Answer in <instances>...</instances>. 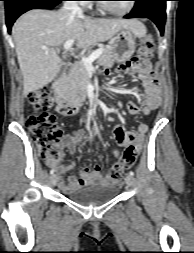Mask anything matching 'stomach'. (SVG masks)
Listing matches in <instances>:
<instances>
[{
    "mask_svg": "<svg viewBox=\"0 0 194 253\" xmlns=\"http://www.w3.org/2000/svg\"><path fill=\"white\" fill-rule=\"evenodd\" d=\"M135 48V34L130 29L122 28L112 37L113 58L118 63L131 57Z\"/></svg>",
    "mask_w": 194,
    "mask_h": 253,
    "instance_id": "1",
    "label": "stomach"
}]
</instances>
